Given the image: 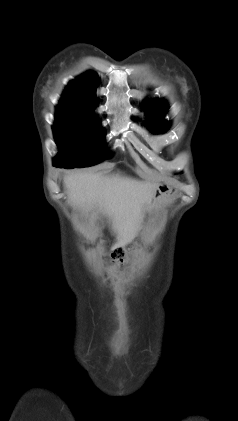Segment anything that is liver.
<instances>
[{
    "mask_svg": "<svg viewBox=\"0 0 238 421\" xmlns=\"http://www.w3.org/2000/svg\"><path fill=\"white\" fill-rule=\"evenodd\" d=\"M69 202L77 207H96L109 217L119 247L136 233L142 212L151 202L156 183L120 174L77 173L64 180Z\"/></svg>",
    "mask_w": 238,
    "mask_h": 421,
    "instance_id": "obj_1",
    "label": "liver"
}]
</instances>
